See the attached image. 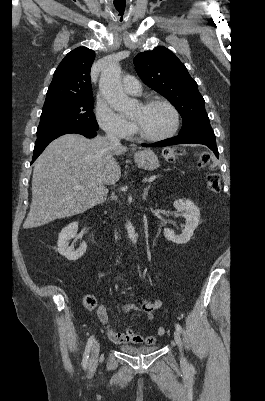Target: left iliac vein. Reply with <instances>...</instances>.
<instances>
[{
	"label": "left iliac vein",
	"mask_w": 265,
	"mask_h": 401,
	"mask_svg": "<svg viewBox=\"0 0 265 401\" xmlns=\"http://www.w3.org/2000/svg\"><path fill=\"white\" fill-rule=\"evenodd\" d=\"M174 340L177 344V346L182 350V340L179 331L175 330L174 331ZM181 361H184V357L182 355Z\"/></svg>",
	"instance_id": "4c4485c4"
}]
</instances>
